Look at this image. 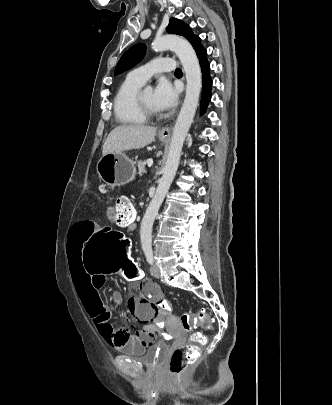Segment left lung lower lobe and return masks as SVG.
Wrapping results in <instances>:
<instances>
[{"label":"left lung lower lobe","mask_w":332,"mask_h":405,"mask_svg":"<svg viewBox=\"0 0 332 405\" xmlns=\"http://www.w3.org/2000/svg\"><path fill=\"white\" fill-rule=\"evenodd\" d=\"M197 56L199 58L201 70H202V98H201V114H203L206 110V107L211 99V86H212V79L210 77V64L207 61V51L204 47H201L196 51Z\"/></svg>","instance_id":"1"}]
</instances>
